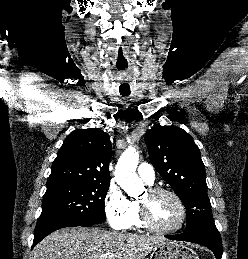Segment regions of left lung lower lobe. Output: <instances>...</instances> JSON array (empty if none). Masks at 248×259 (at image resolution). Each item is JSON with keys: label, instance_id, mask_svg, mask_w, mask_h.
I'll use <instances>...</instances> for the list:
<instances>
[{"label": "left lung lower lobe", "instance_id": "left-lung-lower-lobe-1", "mask_svg": "<svg viewBox=\"0 0 248 259\" xmlns=\"http://www.w3.org/2000/svg\"><path fill=\"white\" fill-rule=\"evenodd\" d=\"M168 239L198 243L211 249L217 259L222 257V243L220 234L216 228L207 227L195 232L182 233L177 235H166Z\"/></svg>", "mask_w": 248, "mask_h": 259}]
</instances>
